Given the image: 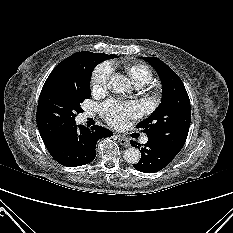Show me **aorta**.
<instances>
[{
	"label": "aorta",
	"mask_w": 233,
	"mask_h": 233,
	"mask_svg": "<svg viewBox=\"0 0 233 233\" xmlns=\"http://www.w3.org/2000/svg\"><path fill=\"white\" fill-rule=\"evenodd\" d=\"M108 88L115 93H126L131 89L130 80L120 73L113 74L108 82ZM124 160L129 164L139 162L141 153L135 147H129L124 151Z\"/></svg>",
	"instance_id": "obj_1"
}]
</instances>
